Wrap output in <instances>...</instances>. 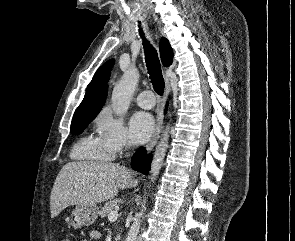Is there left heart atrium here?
<instances>
[{"label": "left heart atrium", "mask_w": 295, "mask_h": 241, "mask_svg": "<svg viewBox=\"0 0 295 241\" xmlns=\"http://www.w3.org/2000/svg\"><path fill=\"white\" fill-rule=\"evenodd\" d=\"M130 134L136 143L146 142L153 133L155 122L152 115L137 112L130 119Z\"/></svg>", "instance_id": "1"}]
</instances>
